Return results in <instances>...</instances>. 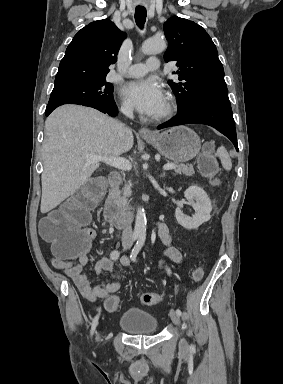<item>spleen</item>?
Masks as SVG:
<instances>
[{
    "label": "spleen",
    "mask_w": 283,
    "mask_h": 384,
    "mask_svg": "<svg viewBox=\"0 0 283 384\" xmlns=\"http://www.w3.org/2000/svg\"><path fill=\"white\" fill-rule=\"evenodd\" d=\"M217 156H219L224 170H231L232 162L226 148H223V146H221V148H218Z\"/></svg>",
    "instance_id": "1"
}]
</instances>
